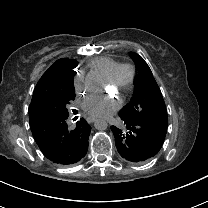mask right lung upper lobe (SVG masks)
Returning <instances> with one entry per match:
<instances>
[{"label": "right lung upper lobe", "instance_id": "right-lung-upper-lobe-1", "mask_svg": "<svg viewBox=\"0 0 208 208\" xmlns=\"http://www.w3.org/2000/svg\"><path fill=\"white\" fill-rule=\"evenodd\" d=\"M73 66H76V61L71 60V59H66V58L59 59L52 64V66L40 78L39 82L37 83L35 87L33 97L31 100V104H30L31 109H29V112L32 113L33 112L32 107L34 105H37L35 104V102L38 101V94L42 90H44L46 87H48L50 82H52L56 77L62 75L65 71H68Z\"/></svg>", "mask_w": 208, "mask_h": 208}]
</instances>
